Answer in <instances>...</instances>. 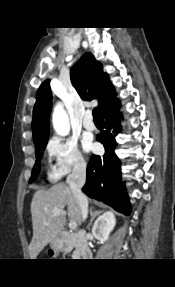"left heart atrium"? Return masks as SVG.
<instances>
[{"label": "left heart atrium", "mask_w": 175, "mask_h": 287, "mask_svg": "<svg viewBox=\"0 0 175 287\" xmlns=\"http://www.w3.org/2000/svg\"><path fill=\"white\" fill-rule=\"evenodd\" d=\"M83 144L86 150H90L93 147V144L90 139H85Z\"/></svg>", "instance_id": "1"}]
</instances>
